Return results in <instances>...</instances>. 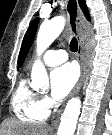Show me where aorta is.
Here are the masks:
<instances>
[{"mask_svg":"<svg viewBox=\"0 0 112 135\" xmlns=\"http://www.w3.org/2000/svg\"><path fill=\"white\" fill-rule=\"evenodd\" d=\"M65 26V18L56 16L48 22L41 25L37 34V53L40 56L51 43L60 35ZM32 84L41 89H47L49 86V78L47 71L38 59L32 67ZM81 109L80 98H72L68 101L63 114L61 115L57 135H74L78 117Z\"/></svg>","mask_w":112,"mask_h":135,"instance_id":"aorta-1","label":"aorta"}]
</instances>
